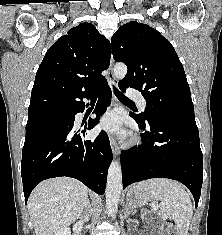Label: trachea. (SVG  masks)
<instances>
[{
  "instance_id": "obj_1",
  "label": "trachea",
  "mask_w": 222,
  "mask_h": 235,
  "mask_svg": "<svg viewBox=\"0 0 222 235\" xmlns=\"http://www.w3.org/2000/svg\"><path fill=\"white\" fill-rule=\"evenodd\" d=\"M114 93L118 99H120L124 102H127V103H133L130 99H128L126 96H124L121 92H119L118 89L115 87H114Z\"/></svg>"
}]
</instances>
